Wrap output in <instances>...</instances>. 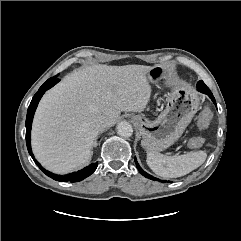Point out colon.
Masks as SVG:
<instances>
[{"label":"colon","instance_id":"colon-1","mask_svg":"<svg viewBox=\"0 0 241 241\" xmlns=\"http://www.w3.org/2000/svg\"><path fill=\"white\" fill-rule=\"evenodd\" d=\"M212 120V111L209 108H204L198 116L197 126L200 130H205L208 128L210 122ZM202 137H194L190 140L189 145L192 148H199L203 145Z\"/></svg>","mask_w":241,"mask_h":241}]
</instances>
